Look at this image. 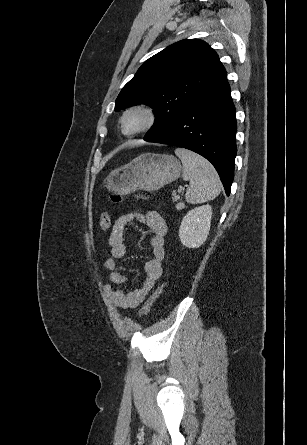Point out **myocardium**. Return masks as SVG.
Wrapping results in <instances>:
<instances>
[{"label":"myocardium","instance_id":"obj_1","mask_svg":"<svg viewBox=\"0 0 307 445\" xmlns=\"http://www.w3.org/2000/svg\"><path fill=\"white\" fill-rule=\"evenodd\" d=\"M132 110L145 111L148 116V121H147L146 125L144 127H142L141 129H139L131 134H127L123 131V122H124V119L127 116V114ZM159 119H160L159 111L153 104L148 103V102H138V103L130 105L123 112L122 117L120 119V131L126 137L137 136V135H140L142 133H145V132H148V131H151L152 129H154L157 126Z\"/></svg>","mask_w":307,"mask_h":445}]
</instances>
